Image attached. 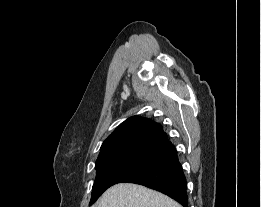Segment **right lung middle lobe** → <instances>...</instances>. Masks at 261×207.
<instances>
[{"mask_svg":"<svg viewBox=\"0 0 261 207\" xmlns=\"http://www.w3.org/2000/svg\"><path fill=\"white\" fill-rule=\"evenodd\" d=\"M158 163L150 159L128 158L96 165L97 176L92 188L90 204L95 202L112 185L125 182Z\"/></svg>","mask_w":261,"mask_h":207,"instance_id":"obj_1","label":"right lung middle lobe"}]
</instances>
